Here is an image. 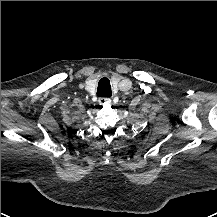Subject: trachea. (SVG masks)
<instances>
[{"mask_svg":"<svg viewBox=\"0 0 217 217\" xmlns=\"http://www.w3.org/2000/svg\"><path fill=\"white\" fill-rule=\"evenodd\" d=\"M97 95L99 97H111L112 96L110 81L107 77H103L99 80L98 87H97Z\"/></svg>","mask_w":217,"mask_h":217,"instance_id":"1","label":"trachea"}]
</instances>
